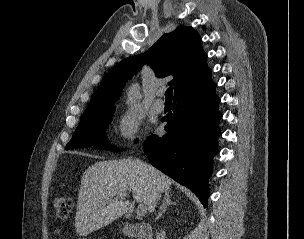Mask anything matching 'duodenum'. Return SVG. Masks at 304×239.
Segmentation results:
<instances>
[{
	"label": "duodenum",
	"mask_w": 304,
	"mask_h": 239,
	"mask_svg": "<svg viewBox=\"0 0 304 239\" xmlns=\"http://www.w3.org/2000/svg\"><path fill=\"white\" fill-rule=\"evenodd\" d=\"M122 231L127 237L136 239H153L152 228L147 223H124Z\"/></svg>",
	"instance_id": "obj_1"
}]
</instances>
